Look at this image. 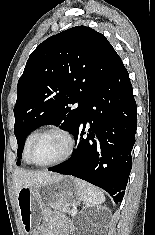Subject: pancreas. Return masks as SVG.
Masks as SVG:
<instances>
[{"label":"pancreas","instance_id":"pancreas-1","mask_svg":"<svg viewBox=\"0 0 155 235\" xmlns=\"http://www.w3.org/2000/svg\"><path fill=\"white\" fill-rule=\"evenodd\" d=\"M58 210H60V211H62L64 213H68V214L70 213L69 208L62 207V208H58Z\"/></svg>","mask_w":155,"mask_h":235}]
</instances>
